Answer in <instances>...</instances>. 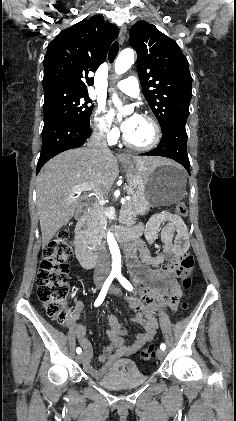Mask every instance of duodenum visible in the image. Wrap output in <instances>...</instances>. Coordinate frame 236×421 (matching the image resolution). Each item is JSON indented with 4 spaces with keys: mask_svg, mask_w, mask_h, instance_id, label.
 <instances>
[{
    "mask_svg": "<svg viewBox=\"0 0 236 421\" xmlns=\"http://www.w3.org/2000/svg\"><path fill=\"white\" fill-rule=\"evenodd\" d=\"M77 226L74 232V246L76 256L82 267L91 269L98 263L96 253L89 247L85 237L81 232V224L86 218V207L80 206L76 212ZM116 236L120 242L125 244L128 254V266L132 273L135 283L140 287L142 298L150 309L157 310L159 306L173 308L179 298L178 291L175 287V277L179 270V253L178 248L174 245L168 249L166 254L171 258V264L167 269H152L148 264L157 265L160 263L162 256L149 257L145 251L144 244L139 240L140 232L134 228H120L116 231ZM139 250L144 258L142 264L135 256V251ZM142 312V311H140ZM140 322L145 326L146 333L137 339L136 345H141L149 336L151 327L148 317L142 313ZM79 342L86 341L84 333L80 329L73 330ZM109 337L113 344L117 347L116 353L112 354V347H106L104 354L99 356L101 362H105L102 369L97 370L90 366L89 353L83 362L85 369L94 377L100 378L102 374L109 368L112 362L119 356L127 354L131 351V347H126L123 343L121 332L118 328L108 331Z\"/></svg>",
    "mask_w": 236,
    "mask_h": 421,
    "instance_id": "obj_1",
    "label": "duodenum"
}]
</instances>
